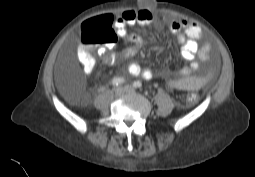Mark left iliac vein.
I'll return each mask as SVG.
<instances>
[{
    "label": "left iliac vein",
    "mask_w": 255,
    "mask_h": 177,
    "mask_svg": "<svg viewBox=\"0 0 255 177\" xmlns=\"http://www.w3.org/2000/svg\"><path fill=\"white\" fill-rule=\"evenodd\" d=\"M126 92H127V93H134V89L131 88V87H129V86H127V87H126Z\"/></svg>",
    "instance_id": "obj_1"
}]
</instances>
